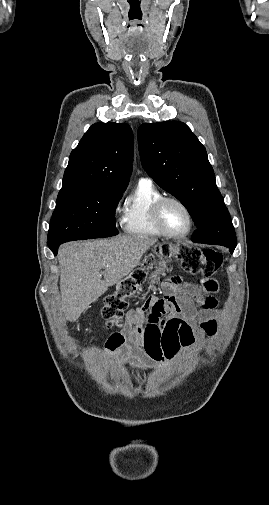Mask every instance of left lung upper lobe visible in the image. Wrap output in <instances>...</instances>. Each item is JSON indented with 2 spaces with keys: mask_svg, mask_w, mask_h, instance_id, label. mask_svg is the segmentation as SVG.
Instances as JSON below:
<instances>
[{
  "mask_svg": "<svg viewBox=\"0 0 269 505\" xmlns=\"http://www.w3.org/2000/svg\"><path fill=\"white\" fill-rule=\"evenodd\" d=\"M143 168L190 212L197 230L194 242L236 246L230 214L224 204L205 147L179 121L144 123L138 129Z\"/></svg>",
  "mask_w": 269,
  "mask_h": 505,
  "instance_id": "1",
  "label": "left lung upper lobe"
}]
</instances>
